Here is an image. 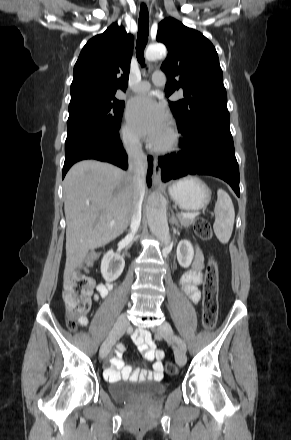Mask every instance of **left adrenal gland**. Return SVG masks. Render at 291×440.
<instances>
[{
	"label": "left adrenal gland",
	"instance_id": "left-adrenal-gland-1",
	"mask_svg": "<svg viewBox=\"0 0 291 440\" xmlns=\"http://www.w3.org/2000/svg\"><path fill=\"white\" fill-rule=\"evenodd\" d=\"M171 223H172V224H175L177 227L180 226V225H179V222H178V220H177V218H176L175 215H174V213L172 214V217H171Z\"/></svg>",
	"mask_w": 291,
	"mask_h": 440
}]
</instances>
